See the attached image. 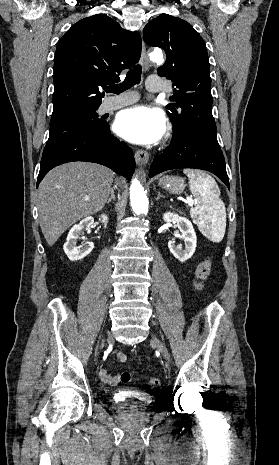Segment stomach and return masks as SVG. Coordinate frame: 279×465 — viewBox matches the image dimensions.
<instances>
[{"instance_id":"1","label":"stomach","mask_w":279,"mask_h":465,"mask_svg":"<svg viewBox=\"0 0 279 465\" xmlns=\"http://www.w3.org/2000/svg\"><path fill=\"white\" fill-rule=\"evenodd\" d=\"M159 186L173 194H180L185 188L184 180L178 176H164L159 180Z\"/></svg>"}]
</instances>
